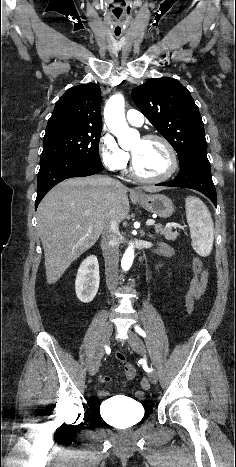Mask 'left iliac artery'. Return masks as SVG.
<instances>
[{"label":"left iliac artery","instance_id":"1","mask_svg":"<svg viewBox=\"0 0 236 467\" xmlns=\"http://www.w3.org/2000/svg\"><path fill=\"white\" fill-rule=\"evenodd\" d=\"M135 330L136 332L141 335L142 337H146V333L144 332V330H142L139 326H135ZM143 367L145 368V370L147 371H150L151 369H149L145 364L143 365Z\"/></svg>","mask_w":236,"mask_h":467}]
</instances>
